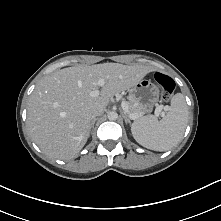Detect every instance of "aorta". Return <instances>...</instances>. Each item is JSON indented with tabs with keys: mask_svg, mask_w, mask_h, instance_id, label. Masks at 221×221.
Wrapping results in <instances>:
<instances>
[{
	"mask_svg": "<svg viewBox=\"0 0 221 221\" xmlns=\"http://www.w3.org/2000/svg\"><path fill=\"white\" fill-rule=\"evenodd\" d=\"M118 118V114L115 111L108 112V119L109 120H116Z\"/></svg>",
	"mask_w": 221,
	"mask_h": 221,
	"instance_id": "aorta-1",
	"label": "aorta"
}]
</instances>
